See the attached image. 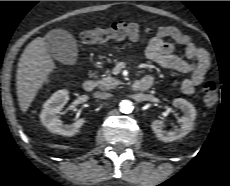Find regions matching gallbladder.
<instances>
[{"label": "gallbladder", "instance_id": "1", "mask_svg": "<svg viewBox=\"0 0 230 186\" xmlns=\"http://www.w3.org/2000/svg\"><path fill=\"white\" fill-rule=\"evenodd\" d=\"M46 47L49 54L64 64H74L77 60V44L74 37L66 30L55 29L46 37Z\"/></svg>", "mask_w": 230, "mask_h": 186}]
</instances>
